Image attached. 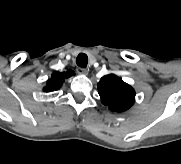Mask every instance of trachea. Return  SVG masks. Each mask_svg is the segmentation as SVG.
I'll return each mask as SVG.
<instances>
[{"label": "trachea", "instance_id": "trachea-1", "mask_svg": "<svg viewBox=\"0 0 181 164\" xmlns=\"http://www.w3.org/2000/svg\"><path fill=\"white\" fill-rule=\"evenodd\" d=\"M87 63H88V57H87V55H86L85 53H80V54L77 56L76 64H77L79 67L86 68Z\"/></svg>", "mask_w": 181, "mask_h": 164}]
</instances>
